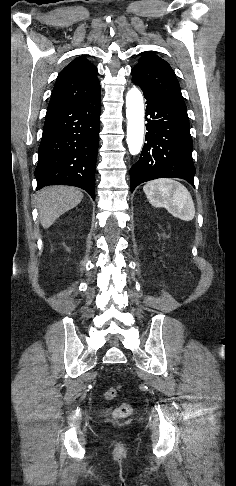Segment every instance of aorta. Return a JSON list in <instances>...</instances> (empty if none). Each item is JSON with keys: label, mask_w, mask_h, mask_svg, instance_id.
Returning <instances> with one entry per match:
<instances>
[{"label": "aorta", "mask_w": 236, "mask_h": 486, "mask_svg": "<svg viewBox=\"0 0 236 486\" xmlns=\"http://www.w3.org/2000/svg\"><path fill=\"white\" fill-rule=\"evenodd\" d=\"M127 144L129 152L137 155L143 145L144 102L141 92L133 87L126 95Z\"/></svg>", "instance_id": "1"}]
</instances>
